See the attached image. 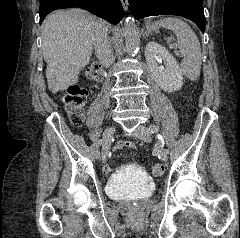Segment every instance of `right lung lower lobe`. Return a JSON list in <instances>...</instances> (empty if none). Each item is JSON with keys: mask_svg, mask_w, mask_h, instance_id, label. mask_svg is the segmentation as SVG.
I'll return each mask as SVG.
<instances>
[{"mask_svg": "<svg viewBox=\"0 0 240 238\" xmlns=\"http://www.w3.org/2000/svg\"><path fill=\"white\" fill-rule=\"evenodd\" d=\"M70 7L88 10L112 24H117L123 17L120 0H40V24L48 13Z\"/></svg>", "mask_w": 240, "mask_h": 238, "instance_id": "obj_1", "label": "right lung lower lobe"}]
</instances>
